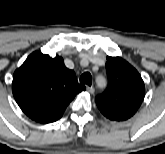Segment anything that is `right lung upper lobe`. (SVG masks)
I'll use <instances>...</instances> for the list:
<instances>
[{
	"label": "right lung upper lobe",
	"mask_w": 165,
	"mask_h": 154,
	"mask_svg": "<svg viewBox=\"0 0 165 154\" xmlns=\"http://www.w3.org/2000/svg\"><path fill=\"white\" fill-rule=\"evenodd\" d=\"M85 90L75 72L64 65L63 58L35 51L13 76L12 91L21 110L32 120L65 109L74 97Z\"/></svg>",
	"instance_id": "right-lung-upper-lobe-1"
}]
</instances>
